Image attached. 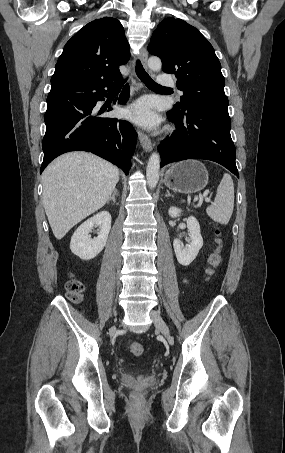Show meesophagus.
Here are the masks:
<instances>
[{"label":"esophagus","instance_id":"1","mask_svg":"<svg viewBox=\"0 0 285 453\" xmlns=\"http://www.w3.org/2000/svg\"><path fill=\"white\" fill-rule=\"evenodd\" d=\"M140 60L142 62V65L147 69L148 53H147V49L145 47L141 51ZM137 133H138L139 141L141 143L142 148L146 152H150L152 150V142H151L150 138L146 134H144L141 130H138Z\"/></svg>","mask_w":285,"mask_h":453}]
</instances>
